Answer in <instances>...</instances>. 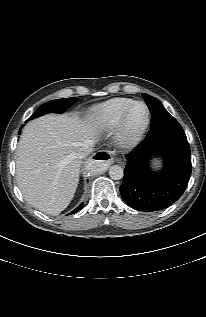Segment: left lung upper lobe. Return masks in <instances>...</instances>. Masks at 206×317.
<instances>
[{
  "instance_id": "5c2ea615",
  "label": "left lung upper lobe",
  "mask_w": 206,
  "mask_h": 317,
  "mask_svg": "<svg viewBox=\"0 0 206 317\" xmlns=\"http://www.w3.org/2000/svg\"><path fill=\"white\" fill-rule=\"evenodd\" d=\"M142 96L152 114L147 139L169 135L186 136L178 121L166 111L158 100L146 93H142Z\"/></svg>"
}]
</instances>
